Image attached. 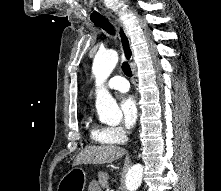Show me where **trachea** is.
Wrapping results in <instances>:
<instances>
[{"mask_svg": "<svg viewBox=\"0 0 221 191\" xmlns=\"http://www.w3.org/2000/svg\"><path fill=\"white\" fill-rule=\"evenodd\" d=\"M93 22L97 26H99L100 28L105 30L107 33H109L110 35H115V30H114L113 26L107 21L106 18H100V19L94 20ZM122 70L126 76H128V77L132 76L131 68L127 62H123Z\"/></svg>", "mask_w": 221, "mask_h": 191, "instance_id": "trachea-1", "label": "trachea"}]
</instances>
